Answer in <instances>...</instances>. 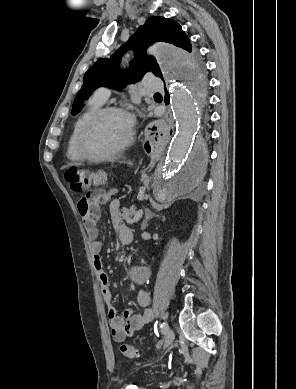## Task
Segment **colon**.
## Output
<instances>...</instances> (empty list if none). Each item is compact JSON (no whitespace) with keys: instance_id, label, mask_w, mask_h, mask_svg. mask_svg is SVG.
Returning a JSON list of instances; mask_svg holds the SVG:
<instances>
[{"instance_id":"5ec220e1","label":"colon","mask_w":296,"mask_h":389,"mask_svg":"<svg viewBox=\"0 0 296 389\" xmlns=\"http://www.w3.org/2000/svg\"><path fill=\"white\" fill-rule=\"evenodd\" d=\"M108 176L104 172L89 171L83 168L72 167L65 171V180L69 187L74 191H84L93 185H102L106 183ZM121 353L130 358H138V351L129 344L120 347Z\"/></svg>"}]
</instances>
